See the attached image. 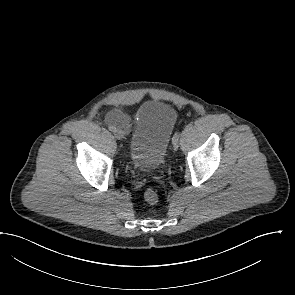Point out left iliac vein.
I'll use <instances>...</instances> for the list:
<instances>
[{
    "label": "left iliac vein",
    "mask_w": 295,
    "mask_h": 295,
    "mask_svg": "<svg viewBox=\"0 0 295 295\" xmlns=\"http://www.w3.org/2000/svg\"><path fill=\"white\" fill-rule=\"evenodd\" d=\"M173 149L177 150L178 149V140L172 141Z\"/></svg>",
    "instance_id": "obj_1"
}]
</instances>
